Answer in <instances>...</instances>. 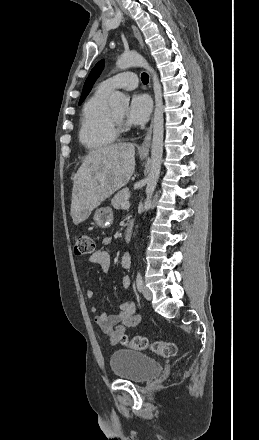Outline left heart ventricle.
I'll list each match as a JSON object with an SVG mask.
<instances>
[{"label":"left heart ventricle","instance_id":"b2bd125f","mask_svg":"<svg viewBox=\"0 0 259 440\" xmlns=\"http://www.w3.org/2000/svg\"><path fill=\"white\" fill-rule=\"evenodd\" d=\"M114 113H115L118 117H120V118L123 119V118L125 117V114H126V109H125V108L117 109V110L114 111Z\"/></svg>","mask_w":259,"mask_h":440}]
</instances>
